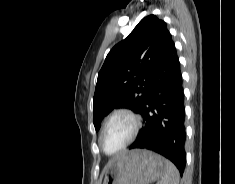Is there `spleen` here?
<instances>
[{"instance_id": "3e777b00", "label": "spleen", "mask_w": 235, "mask_h": 184, "mask_svg": "<svg viewBox=\"0 0 235 184\" xmlns=\"http://www.w3.org/2000/svg\"><path fill=\"white\" fill-rule=\"evenodd\" d=\"M180 174L172 162L164 158V170L158 184H179Z\"/></svg>"}]
</instances>
